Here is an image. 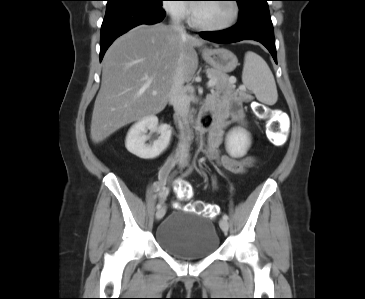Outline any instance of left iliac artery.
<instances>
[{
	"label": "left iliac artery",
	"mask_w": 365,
	"mask_h": 299,
	"mask_svg": "<svg viewBox=\"0 0 365 299\" xmlns=\"http://www.w3.org/2000/svg\"><path fill=\"white\" fill-rule=\"evenodd\" d=\"M223 219L228 220V215L227 214H224L223 215Z\"/></svg>",
	"instance_id": "obj_1"
}]
</instances>
